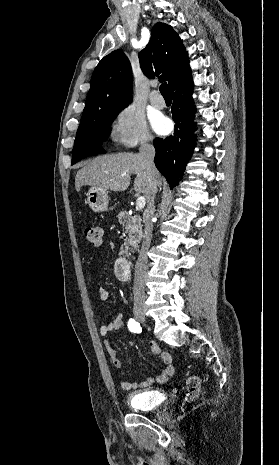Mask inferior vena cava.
Returning <instances> with one entry per match:
<instances>
[{"label":"inferior vena cava","instance_id":"1","mask_svg":"<svg viewBox=\"0 0 279 465\" xmlns=\"http://www.w3.org/2000/svg\"><path fill=\"white\" fill-rule=\"evenodd\" d=\"M151 138H146L142 141L139 148V156L143 160V164L147 170L148 181H149V193L147 195V209L144 212V234L141 250L138 256V260L135 265V284L133 288L134 302L141 303L144 301V277L146 275L147 269V251L149 249L153 225L152 218L155 212V195L157 191V170L154 164L155 149L154 146L150 143Z\"/></svg>","mask_w":279,"mask_h":465}]
</instances>
